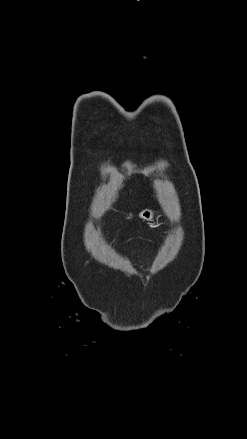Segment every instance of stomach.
Instances as JSON below:
<instances>
[{
  "instance_id": "obj_1",
  "label": "stomach",
  "mask_w": 247,
  "mask_h": 439,
  "mask_svg": "<svg viewBox=\"0 0 247 439\" xmlns=\"http://www.w3.org/2000/svg\"><path fill=\"white\" fill-rule=\"evenodd\" d=\"M154 211L151 209H145L140 213V217L147 221H152L154 219Z\"/></svg>"
}]
</instances>
